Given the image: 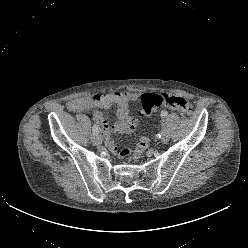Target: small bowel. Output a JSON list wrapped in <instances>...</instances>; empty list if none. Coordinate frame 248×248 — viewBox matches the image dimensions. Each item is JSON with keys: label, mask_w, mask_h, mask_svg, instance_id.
<instances>
[{"label": "small bowel", "mask_w": 248, "mask_h": 248, "mask_svg": "<svg viewBox=\"0 0 248 248\" xmlns=\"http://www.w3.org/2000/svg\"><path fill=\"white\" fill-rule=\"evenodd\" d=\"M140 95L136 92L117 91L112 93L96 94L88 97L73 99L68 103V108L75 112L95 111L94 118L101 125L107 146L112 153H117V146L111 139V131L129 133L136 129L137 120L129 112V103L137 101ZM113 104L117 106L118 121L111 127L104 117L101 109H108ZM131 149L123 146L120 149L121 157H128Z\"/></svg>", "instance_id": "1"}]
</instances>
